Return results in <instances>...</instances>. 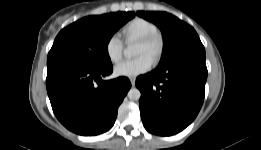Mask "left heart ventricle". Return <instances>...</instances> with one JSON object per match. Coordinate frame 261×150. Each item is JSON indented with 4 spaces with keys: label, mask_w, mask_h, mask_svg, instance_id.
<instances>
[{
    "label": "left heart ventricle",
    "mask_w": 261,
    "mask_h": 150,
    "mask_svg": "<svg viewBox=\"0 0 261 150\" xmlns=\"http://www.w3.org/2000/svg\"><path fill=\"white\" fill-rule=\"evenodd\" d=\"M135 55L136 56L148 55L149 57L152 58L149 48L146 45L139 42L136 46Z\"/></svg>",
    "instance_id": "1"
}]
</instances>
